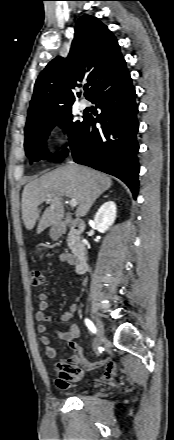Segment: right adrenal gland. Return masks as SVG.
<instances>
[{
  "mask_svg": "<svg viewBox=\"0 0 174 440\" xmlns=\"http://www.w3.org/2000/svg\"><path fill=\"white\" fill-rule=\"evenodd\" d=\"M104 197L106 198V197H108V195H105Z\"/></svg>",
  "mask_w": 174,
  "mask_h": 440,
  "instance_id": "2a0ac1e0",
  "label": "right adrenal gland"
}]
</instances>
